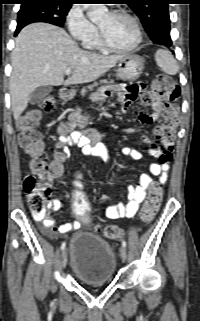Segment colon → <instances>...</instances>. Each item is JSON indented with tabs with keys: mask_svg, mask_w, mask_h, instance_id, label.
Masks as SVG:
<instances>
[{
	"mask_svg": "<svg viewBox=\"0 0 200 321\" xmlns=\"http://www.w3.org/2000/svg\"><path fill=\"white\" fill-rule=\"evenodd\" d=\"M180 95L179 86L167 75L159 74L153 81L151 88L145 90L144 96L140 97L147 102H157L166 107L165 117L159 126L160 139L168 144L167 157L172 158L171 144L175 136V128L178 124L176 108L171 103ZM41 107L46 112H51L55 107V99L46 97L41 102ZM75 119H79L78 116ZM39 113L31 112L23 116L18 122L19 143L30 155L29 172L23 182V188L28 197L29 208L35 217H43L47 211V197L51 191L52 182L60 172L59 166L54 161H49L43 151V145L38 130ZM75 191L71 192V211L76 216V222H89V197L80 187L85 186L84 178L73 181ZM161 203V188L153 183L150 194L140 211V220L149 224L156 216ZM123 232L117 226H107L104 235L110 239H119Z\"/></svg>",
	"mask_w": 200,
	"mask_h": 321,
	"instance_id": "obj_1",
	"label": "colon"
}]
</instances>
